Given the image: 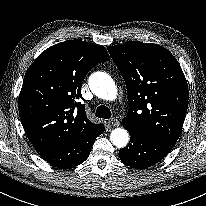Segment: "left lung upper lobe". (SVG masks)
Masks as SVG:
<instances>
[{"instance_id": "1", "label": "left lung upper lobe", "mask_w": 206, "mask_h": 206, "mask_svg": "<svg viewBox=\"0 0 206 206\" xmlns=\"http://www.w3.org/2000/svg\"><path fill=\"white\" fill-rule=\"evenodd\" d=\"M128 91L123 126L177 142L188 108V86L176 58L164 47L137 41L108 47Z\"/></svg>"}]
</instances>
